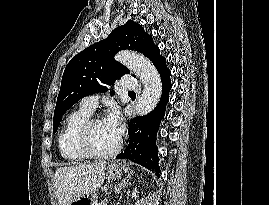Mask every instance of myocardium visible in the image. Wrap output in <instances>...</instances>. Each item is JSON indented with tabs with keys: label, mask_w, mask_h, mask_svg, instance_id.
I'll use <instances>...</instances> for the list:
<instances>
[{
	"label": "myocardium",
	"mask_w": 269,
	"mask_h": 205,
	"mask_svg": "<svg viewBox=\"0 0 269 205\" xmlns=\"http://www.w3.org/2000/svg\"><path fill=\"white\" fill-rule=\"evenodd\" d=\"M103 118L100 115L89 117L81 126L77 142L82 153L92 159H107L115 156L119 153L122 147V140L119 138L117 145L110 151L107 152H98L94 150L91 144V130L93 126L102 120Z\"/></svg>",
	"instance_id": "1"
}]
</instances>
